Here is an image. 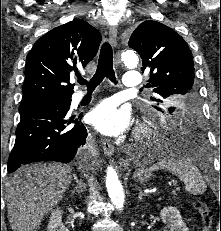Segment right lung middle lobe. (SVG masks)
Instances as JSON below:
<instances>
[{
  "mask_svg": "<svg viewBox=\"0 0 221 231\" xmlns=\"http://www.w3.org/2000/svg\"><path fill=\"white\" fill-rule=\"evenodd\" d=\"M68 99H37V98H32V99H26V100H22L19 111H22L24 109H27L29 107L41 104V103H45V102H50V101H61V102H65Z\"/></svg>",
  "mask_w": 221,
  "mask_h": 231,
  "instance_id": "dd1d6c3e",
  "label": "right lung middle lobe"
}]
</instances>
